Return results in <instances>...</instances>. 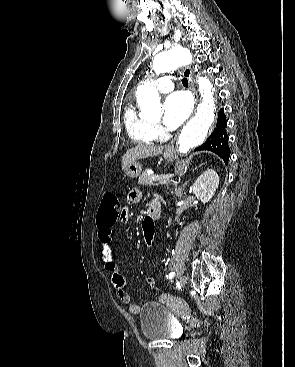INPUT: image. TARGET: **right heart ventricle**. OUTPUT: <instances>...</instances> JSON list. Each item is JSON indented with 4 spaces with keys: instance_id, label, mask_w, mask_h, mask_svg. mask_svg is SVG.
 Returning a JSON list of instances; mask_svg holds the SVG:
<instances>
[{
    "instance_id": "obj_1",
    "label": "right heart ventricle",
    "mask_w": 295,
    "mask_h": 367,
    "mask_svg": "<svg viewBox=\"0 0 295 367\" xmlns=\"http://www.w3.org/2000/svg\"><path fill=\"white\" fill-rule=\"evenodd\" d=\"M124 124L129 137L137 144H150L158 138L154 125L142 117L133 104L125 109Z\"/></svg>"
}]
</instances>
